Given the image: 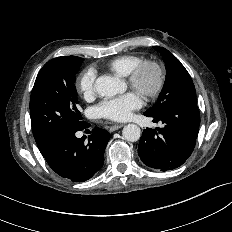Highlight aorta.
Returning <instances> with one entry per match:
<instances>
[{
	"mask_svg": "<svg viewBox=\"0 0 232 232\" xmlns=\"http://www.w3.org/2000/svg\"><path fill=\"white\" fill-rule=\"evenodd\" d=\"M95 90L100 96H114L117 93H122L126 89L123 81L112 76H101L95 82ZM122 135L125 140L135 142L140 139L141 130L135 124H128L122 130Z\"/></svg>",
	"mask_w": 232,
	"mask_h": 232,
	"instance_id": "obj_1",
	"label": "aorta"
}]
</instances>
